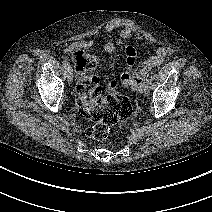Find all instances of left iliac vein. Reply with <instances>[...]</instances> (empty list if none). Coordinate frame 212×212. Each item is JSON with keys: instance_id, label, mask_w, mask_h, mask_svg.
I'll list each match as a JSON object with an SVG mask.
<instances>
[{"instance_id": "obj_1", "label": "left iliac vein", "mask_w": 212, "mask_h": 212, "mask_svg": "<svg viewBox=\"0 0 212 212\" xmlns=\"http://www.w3.org/2000/svg\"><path fill=\"white\" fill-rule=\"evenodd\" d=\"M138 91H139V93H141V94L145 93V90H144L143 85H140V86H139Z\"/></svg>"}]
</instances>
